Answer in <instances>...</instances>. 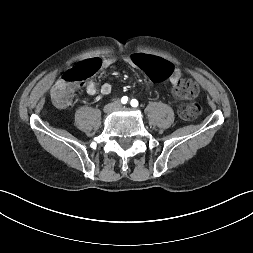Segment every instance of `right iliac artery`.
Here are the masks:
<instances>
[{"mask_svg":"<svg viewBox=\"0 0 253 253\" xmlns=\"http://www.w3.org/2000/svg\"><path fill=\"white\" fill-rule=\"evenodd\" d=\"M121 103L122 104H126L128 102V97L127 96H123L121 99H120Z\"/></svg>","mask_w":253,"mask_h":253,"instance_id":"82829eb1","label":"right iliac artery"}]
</instances>
